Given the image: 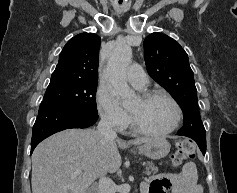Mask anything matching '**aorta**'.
I'll return each instance as SVG.
<instances>
[{
	"instance_id": "aorta-1",
	"label": "aorta",
	"mask_w": 237,
	"mask_h": 193,
	"mask_svg": "<svg viewBox=\"0 0 237 193\" xmlns=\"http://www.w3.org/2000/svg\"><path fill=\"white\" fill-rule=\"evenodd\" d=\"M132 59L131 48L126 44H118L111 53L106 66V74L114 93L123 101L131 102L135 94L126 81V69Z\"/></svg>"
}]
</instances>
